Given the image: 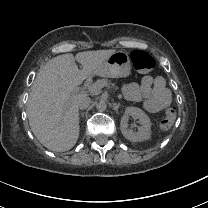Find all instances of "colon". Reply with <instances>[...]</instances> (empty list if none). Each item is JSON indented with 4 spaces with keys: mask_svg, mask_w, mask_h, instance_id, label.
<instances>
[{
    "mask_svg": "<svg viewBox=\"0 0 208 208\" xmlns=\"http://www.w3.org/2000/svg\"><path fill=\"white\" fill-rule=\"evenodd\" d=\"M131 61L134 69L137 70L138 72L148 73L152 71L155 65V61L152 55L149 52L140 49H135L132 51ZM175 119H176L175 109L167 108L165 110V115L159 122L160 129L162 130L171 129L175 122Z\"/></svg>",
    "mask_w": 208,
    "mask_h": 208,
    "instance_id": "1",
    "label": "colon"
}]
</instances>
